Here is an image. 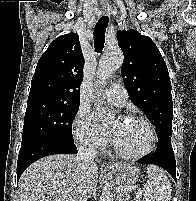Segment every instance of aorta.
<instances>
[{
    "mask_svg": "<svg viewBox=\"0 0 196 201\" xmlns=\"http://www.w3.org/2000/svg\"><path fill=\"white\" fill-rule=\"evenodd\" d=\"M122 63L123 53L120 49L105 51L99 60L97 70V75L101 80L100 84L103 85L105 81L121 67ZM96 108L103 115L105 120H110L114 117L113 114L103 106L102 102L98 101ZM100 201H113V195L108 186L103 188Z\"/></svg>",
    "mask_w": 196,
    "mask_h": 201,
    "instance_id": "762f6f07",
    "label": "aorta"
}]
</instances>
